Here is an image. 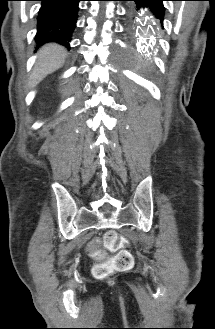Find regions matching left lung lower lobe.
<instances>
[{
  "instance_id": "1",
  "label": "left lung lower lobe",
  "mask_w": 215,
  "mask_h": 329,
  "mask_svg": "<svg viewBox=\"0 0 215 329\" xmlns=\"http://www.w3.org/2000/svg\"><path fill=\"white\" fill-rule=\"evenodd\" d=\"M131 1H135L138 7L149 6L153 14L156 16V18L160 19L162 23L164 17V11H165L163 6V1H167V0H131Z\"/></svg>"
}]
</instances>
